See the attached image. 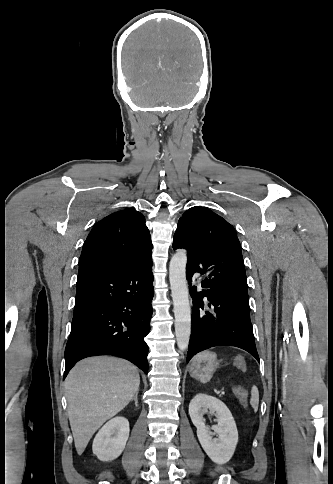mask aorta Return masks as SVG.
Masks as SVG:
<instances>
[{
  "instance_id": "1",
  "label": "aorta",
  "mask_w": 333,
  "mask_h": 484,
  "mask_svg": "<svg viewBox=\"0 0 333 484\" xmlns=\"http://www.w3.org/2000/svg\"><path fill=\"white\" fill-rule=\"evenodd\" d=\"M187 253L178 250L170 261L169 279L175 315V335L178 348H188L191 334V309L186 280Z\"/></svg>"
}]
</instances>
